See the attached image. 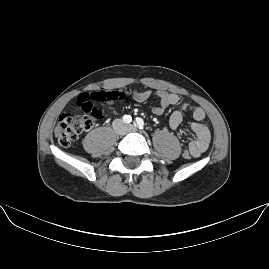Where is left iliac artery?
<instances>
[{"instance_id": "1", "label": "left iliac artery", "mask_w": 269, "mask_h": 269, "mask_svg": "<svg viewBox=\"0 0 269 269\" xmlns=\"http://www.w3.org/2000/svg\"><path fill=\"white\" fill-rule=\"evenodd\" d=\"M135 126H137L139 129L143 130L144 128V121L142 118H136L134 121Z\"/></svg>"}]
</instances>
